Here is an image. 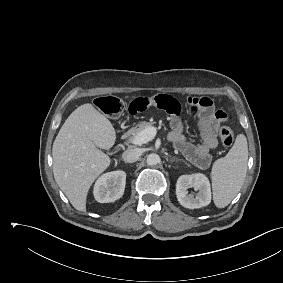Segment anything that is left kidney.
Instances as JSON below:
<instances>
[{"instance_id": "1", "label": "left kidney", "mask_w": 283, "mask_h": 283, "mask_svg": "<svg viewBox=\"0 0 283 283\" xmlns=\"http://www.w3.org/2000/svg\"><path fill=\"white\" fill-rule=\"evenodd\" d=\"M198 190L196 197L188 195L187 188ZM176 195L179 203L189 209L201 208L211 202V188L208 178L202 173L182 175L176 183Z\"/></svg>"}]
</instances>
